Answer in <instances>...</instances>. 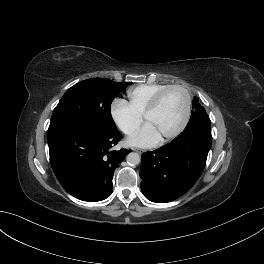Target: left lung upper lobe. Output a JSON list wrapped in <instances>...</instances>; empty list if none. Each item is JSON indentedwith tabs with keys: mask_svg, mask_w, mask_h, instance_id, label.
<instances>
[{
	"mask_svg": "<svg viewBox=\"0 0 264 264\" xmlns=\"http://www.w3.org/2000/svg\"><path fill=\"white\" fill-rule=\"evenodd\" d=\"M193 108H194V111L192 113V116L193 117L195 115L196 112H198L200 109L202 110L203 114H204V117L210 121L205 109L198 103V99L196 97H194L193 99Z\"/></svg>",
	"mask_w": 264,
	"mask_h": 264,
	"instance_id": "obj_1",
	"label": "left lung upper lobe"
}]
</instances>
